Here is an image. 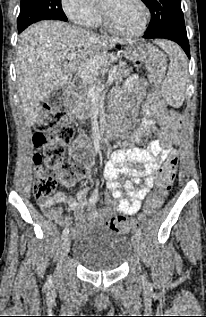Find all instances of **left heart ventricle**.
Masks as SVG:
<instances>
[{
	"label": "left heart ventricle",
	"mask_w": 206,
	"mask_h": 317,
	"mask_svg": "<svg viewBox=\"0 0 206 317\" xmlns=\"http://www.w3.org/2000/svg\"><path fill=\"white\" fill-rule=\"evenodd\" d=\"M102 7L111 23L126 32L137 30L143 22L144 13L135 0H101Z\"/></svg>",
	"instance_id": "obj_1"
}]
</instances>
